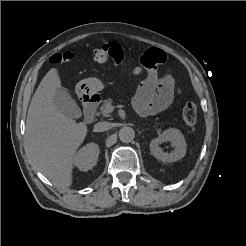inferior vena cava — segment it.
<instances>
[{"label":"inferior vena cava","instance_id":"obj_1","mask_svg":"<svg viewBox=\"0 0 246 246\" xmlns=\"http://www.w3.org/2000/svg\"><path fill=\"white\" fill-rule=\"evenodd\" d=\"M112 125L110 122H98L95 124L93 131L94 132H103L111 129Z\"/></svg>","mask_w":246,"mask_h":246}]
</instances>
